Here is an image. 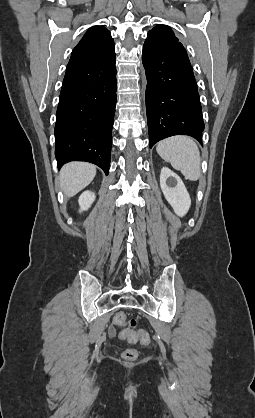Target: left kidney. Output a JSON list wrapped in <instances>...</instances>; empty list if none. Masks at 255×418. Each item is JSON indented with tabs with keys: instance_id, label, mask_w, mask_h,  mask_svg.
<instances>
[{
	"instance_id": "5707ae66",
	"label": "left kidney",
	"mask_w": 255,
	"mask_h": 418,
	"mask_svg": "<svg viewBox=\"0 0 255 418\" xmlns=\"http://www.w3.org/2000/svg\"><path fill=\"white\" fill-rule=\"evenodd\" d=\"M160 186L174 212L180 217L184 216L191 206V199L181 178L169 168L163 167Z\"/></svg>"
}]
</instances>
